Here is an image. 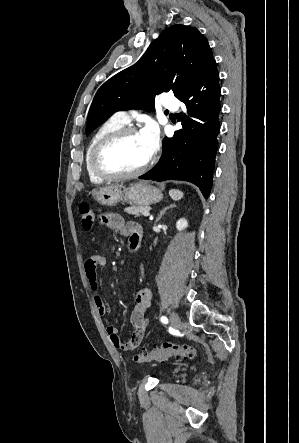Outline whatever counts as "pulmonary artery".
I'll return each mask as SVG.
<instances>
[{
	"instance_id": "1",
	"label": "pulmonary artery",
	"mask_w": 299,
	"mask_h": 443,
	"mask_svg": "<svg viewBox=\"0 0 299 443\" xmlns=\"http://www.w3.org/2000/svg\"><path fill=\"white\" fill-rule=\"evenodd\" d=\"M160 103L163 107L170 109V110H176L177 109V99L174 95L170 93H165L161 96ZM113 119H115L117 122L125 125L129 122V115L125 111H119L113 115Z\"/></svg>"
}]
</instances>
